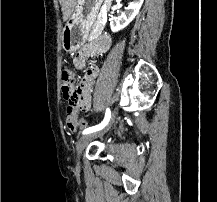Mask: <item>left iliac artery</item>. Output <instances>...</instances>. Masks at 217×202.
I'll return each instance as SVG.
<instances>
[{"label":"left iliac artery","instance_id":"left-iliac-artery-1","mask_svg":"<svg viewBox=\"0 0 217 202\" xmlns=\"http://www.w3.org/2000/svg\"><path fill=\"white\" fill-rule=\"evenodd\" d=\"M110 117H111V111H110L109 108H107L104 120L100 124H98L96 126H92V127L86 128L82 132V134H89V133H93V132H96V131H99V130L103 129L108 124V122L110 120Z\"/></svg>","mask_w":217,"mask_h":202}]
</instances>
